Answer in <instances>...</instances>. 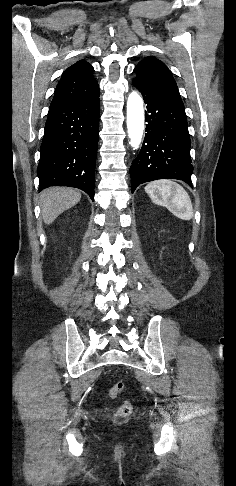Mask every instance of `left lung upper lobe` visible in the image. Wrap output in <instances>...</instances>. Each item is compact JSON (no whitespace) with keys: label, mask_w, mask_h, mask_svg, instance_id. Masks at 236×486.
Here are the masks:
<instances>
[{"label":"left lung upper lobe","mask_w":236,"mask_h":486,"mask_svg":"<svg viewBox=\"0 0 236 486\" xmlns=\"http://www.w3.org/2000/svg\"><path fill=\"white\" fill-rule=\"evenodd\" d=\"M134 72L136 80L148 84L159 94L184 107L172 73L162 61L148 56L138 63Z\"/></svg>","instance_id":"left-lung-upper-lobe-1"}]
</instances>
